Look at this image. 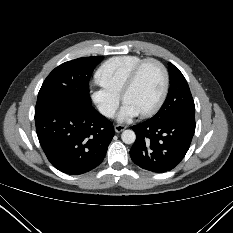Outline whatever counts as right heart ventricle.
<instances>
[{"label":"right heart ventricle","mask_w":233,"mask_h":233,"mask_svg":"<svg viewBox=\"0 0 233 233\" xmlns=\"http://www.w3.org/2000/svg\"><path fill=\"white\" fill-rule=\"evenodd\" d=\"M143 59L136 55L112 57L98 68L96 79L101 85L120 95L129 74Z\"/></svg>","instance_id":"1"}]
</instances>
